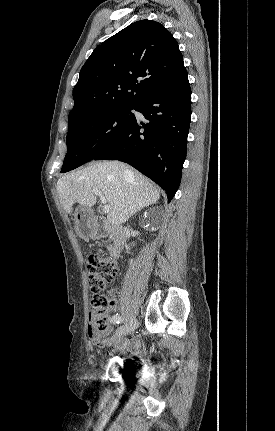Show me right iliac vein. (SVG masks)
Here are the masks:
<instances>
[{
	"label": "right iliac vein",
	"instance_id": "63e3f726",
	"mask_svg": "<svg viewBox=\"0 0 275 431\" xmlns=\"http://www.w3.org/2000/svg\"><path fill=\"white\" fill-rule=\"evenodd\" d=\"M138 327V322L137 320H133L131 321L129 324L123 325L121 327H119L116 330V333L114 334V336L111 338V340L109 341V346L116 341L117 339L121 338L122 336L131 333L132 331H134L136 328Z\"/></svg>",
	"mask_w": 275,
	"mask_h": 431
}]
</instances>
